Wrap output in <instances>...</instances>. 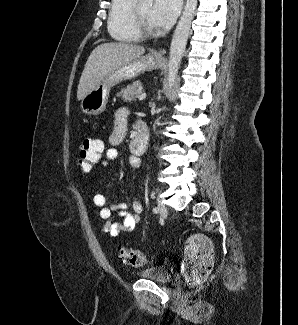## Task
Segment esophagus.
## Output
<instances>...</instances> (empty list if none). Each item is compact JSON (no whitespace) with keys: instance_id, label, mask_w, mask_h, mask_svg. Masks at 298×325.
I'll return each instance as SVG.
<instances>
[{"instance_id":"obj_1","label":"esophagus","mask_w":298,"mask_h":325,"mask_svg":"<svg viewBox=\"0 0 298 325\" xmlns=\"http://www.w3.org/2000/svg\"><path fill=\"white\" fill-rule=\"evenodd\" d=\"M165 53H166V50H165V49H160V50H158V51L156 52V55H157L158 57H162L163 55H165Z\"/></svg>"}]
</instances>
